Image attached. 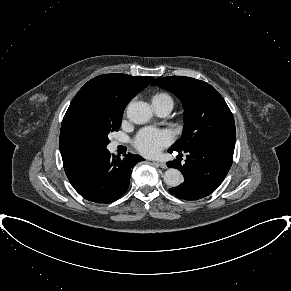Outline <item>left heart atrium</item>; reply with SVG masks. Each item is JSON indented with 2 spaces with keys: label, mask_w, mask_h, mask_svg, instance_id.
I'll return each instance as SVG.
<instances>
[{
  "label": "left heart atrium",
  "mask_w": 291,
  "mask_h": 291,
  "mask_svg": "<svg viewBox=\"0 0 291 291\" xmlns=\"http://www.w3.org/2000/svg\"><path fill=\"white\" fill-rule=\"evenodd\" d=\"M171 141L172 136L168 131L148 127L138 132L133 140V145L140 153L155 156Z\"/></svg>",
  "instance_id": "39dd6f15"
}]
</instances>
